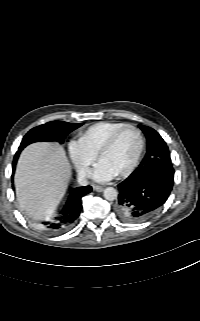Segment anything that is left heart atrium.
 <instances>
[{"label": "left heart atrium", "mask_w": 200, "mask_h": 321, "mask_svg": "<svg viewBox=\"0 0 200 321\" xmlns=\"http://www.w3.org/2000/svg\"><path fill=\"white\" fill-rule=\"evenodd\" d=\"M90 175L97 181H108L116 176V174L102 161L97 163Z\"/></svg>", "instance_id": "left-heart-atrium-1"}]
</instances>
